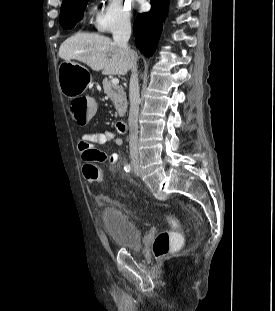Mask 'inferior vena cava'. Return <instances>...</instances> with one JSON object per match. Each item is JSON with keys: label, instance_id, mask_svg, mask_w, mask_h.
Returning <instances> with one entry per match:
<instances>
[{"label": "inferior vena cava", "instance_id": "obj_1", "mask_svg": "<svg viewBox=\"0 0 275 311\" xmlns=\"http://www.w3.org/2000/svg\"><path fill=\"white\" fill-rule=\"evenodd\" d=\"M131 35V23L126 20L118 25L113 32V40L116 45L122 48L124 51L130 53L132 50L128 46V40ZM131 78L129 85V99H130V111H129V147L130 157L132 160H138V115H139V80L137 73L136 62L131 67Z\"/></svg>", "mask_w": 275, "mask_h": 311}]
</instances>
